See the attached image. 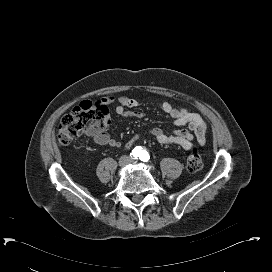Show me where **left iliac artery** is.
<instances>
[{"instance_id":"left-iliac-artery-1","label":"left iliac artery","mask_w":272,"mask_h":272,"mask_svg":"<svg viewBox=\"0 0 272 272\" xmlns=\"http://www.w3.org/2000/svg\"><path fill=\"white\" fill-rule=\"evenodd\" d=\"M149 159H150V156H149L148 152L145 150H142L141 154H140V160L147 162Z\"/></svg>"}]
</instances>
